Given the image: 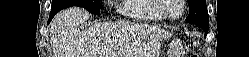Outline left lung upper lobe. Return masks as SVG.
Listing matches in <instances>:
<instances>
[{"label":"left lung upper lobe","mask_w":249,"mask_h":57,"mask_svg":"<svg viewBox=\"0 0 249 57\" xmlns=\"http://www.w3.org/2000/svg\"><path fill=\"white\" fill-rule=\"evenodd\" d=\"M189 15L186 22L209 25L206 0H188Z\"/></svg>","instance_id":"obj_1"}]
</instances>
